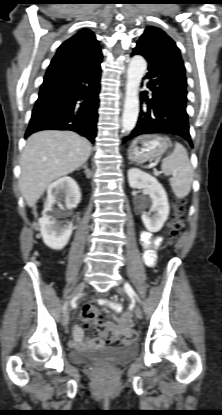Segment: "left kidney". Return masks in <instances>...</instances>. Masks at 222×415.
Segmentation results:
<instances>
[{
    "mask_svg": "<svg viewBox=\"0 0 222 415\" xmlns=\"http://www.w3.org/2000/svg\"><path fill=\"white\" fill-rule=\"evenodd\" d=\"M128 181L131 188L146 189L152 200L150 213L142 214V221L150 232H158L169 215V203L165 189L158 180L137 168L128 170Z\"/></svg>",
    "mask_w": 222,
    "mask_h": 415,
    "instance_id": "5707ae66",
    "label": "left kidney"
}]
</instances>
